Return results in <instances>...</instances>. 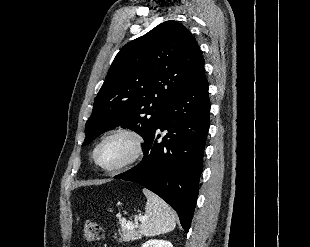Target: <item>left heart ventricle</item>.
<instances>
[{
	"instance_id": "obj_1",
	"label": "left heart ventricle",
	"mask_w": 310,
	"mask_h": 247,
	"mask_svg": "<svg viewBox=\"0 0 310 247\" xmlns=\"http://www.w3.org/2000/svg\"><path fill=\"white\" fill-rule=\"evenodd\" d=\"M132 152V142L125 136H117L107 140L98 152L99 162L106 166H115L126 160Z\"/></svg>"
}]
</instances>
